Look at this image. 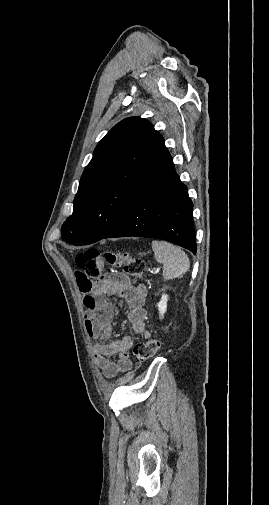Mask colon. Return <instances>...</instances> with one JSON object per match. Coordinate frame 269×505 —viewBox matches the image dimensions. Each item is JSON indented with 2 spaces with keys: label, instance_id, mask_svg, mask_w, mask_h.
Returning a JSON list of instances; mask_svg holds the SVG:
<instances>
[{
  "label": "colon",
  "instance_id": "1",
  "mask_svg": "<svg viewBox=\"0 0 269 505\" xmlns=\"http://www.w3.org/2000/svg\"><path fill=\"white\" fill-rule=\"evenodd\" d=\"M75 262L78 268H84V272L88 274L90 281H100L102 272L106 263L113 266H123L126 274L140 280L144 275V262L139 258H133L127 254L106 252L101 253L97 249H87L77 254ZM161 343L159 340L150 339L148 341L138 343L133 353L138 363L145 362L151 359L160 349Z\"/></svg>",
  "mask_w": 269,
  "mask_h": 505
}]
</instances>
